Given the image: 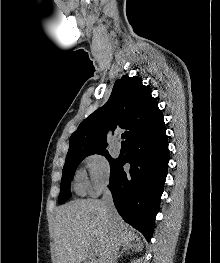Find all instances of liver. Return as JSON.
Returning <instances> with one entry per match:
<instances>
[{
	"mask_svg": "<svg viewBox=\"0 0 220 263\" xmlns=\"http://www.w3.org/2000/svg\"><path fill=\"white\" fill-rule=\"evenodd\" d=\"M138 239L118 213L110 219L101 200H74L59 207L54 222L55 263H82L97 244L95 263H108L117 243L131 244Z\"/></svg>",
	"mask_w": 220,
	"mask_h": 263,
	"instance_id": "liver-1",
	"label": "liver"
}]
</instances>
